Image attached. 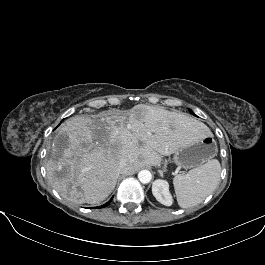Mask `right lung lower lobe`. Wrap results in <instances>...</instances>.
Instances as JSON below:
<instances>
[{"label": "right lung lower lobe", "instance_id": "obj_1", "mask_svg": "<svg viewBox=\"0 0 265 265\" xmlns=\"http://www.w3.org/2000/svg\"><path fill=\"white\" fill-rule=\"evenodd\" d=\"M111 200H112V199H111ZM111 200H110L109 202H107L106 204L100 206V208L106 207V206L111 202ZM98 208H99V207H98Z\"/></svg>", "mask_w": 265, "mask_h": 265}]
</instances>
